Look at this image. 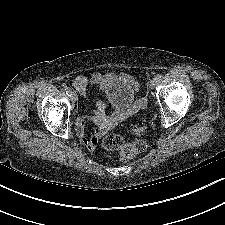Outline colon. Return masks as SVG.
<instances>
[{"instance_id":"5ec220e1","label":"colon","mask_w":225,"mask_h":225,"mask_svg":"<svg viewBox=\"0 0 225 225\" xmlns=\"http://www.w3.org/2000/svg\"><path fill=\"white\" fill-rule=\"evenodd\" d=\"M147 130L146 121H140L134 126L131 132L135 135H141ZM102 147L104 150L112 152L119 151L120 157L124 161H128L136 157L147 148L145 139L137 138L132 142H126L120 134H106L102 139Z\"/></svg>"}]
</instances>
